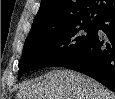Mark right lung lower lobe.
Listing matches in <instances>:
<instances>
[{"mask_svg": "<svg viewBox=\"0 0 115 99\" xmlns=\"http://www.w3.org/2000/svg\"><path fill=\"white\" fill-rule=\"evenodd\" d=\"M98 29L108 40L96 35L82 53L64 67L84 73L115 92V12L103 19Z\"/></svg>", "mask_w": 115, "mask_h": 99, "instance_id": "98d812e1", "label": "right lung lower lobe"}]
</instances>
